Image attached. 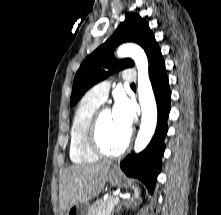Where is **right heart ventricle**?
<instances>
[{
  "mask_svg": "<svg viewBox=\"0 0 221 215\" xmlns=\"http://www.w3.org/2000/svg\"><path fill=\"white\" fill-rule=\"evenodd\" d=\"M101 104L86 94L75 110L69 137V157L75 164L94 163L98 160V156L88 146L87 133L92 117Z\"/></svg>",
  "mask_w": 221,
  "mask_h": 215,
  "instance_id": "1",
  "label": "right heart ventricle"
}]
</instances>
